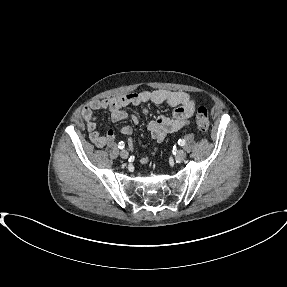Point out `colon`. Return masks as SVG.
I'll list each match as a JSON object with an SVG mask.
<instances>
[{
    "mask_svg": "<svg viewBox=\"0 0 287 287\" xmlns=\"http://www.w3.org/2000/svg\"><path fill=\"white\" fill-rule=\"evenodd\" d=\"M196 124L202 134H207L209 129V113L204 106L196 108Z\"/></svg>",
    "mask_w": 287,
    "mask_h": 287,
    "instance_id": "obj_1",
    "label": "colon"
}]
</instances>
